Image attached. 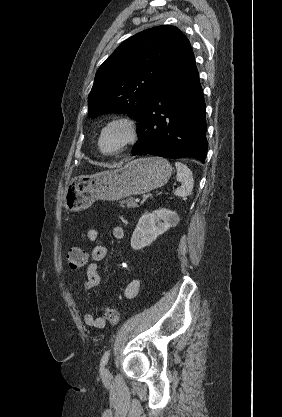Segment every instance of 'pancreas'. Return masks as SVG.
<instances>
[{"label": "pancreas", "instance_id": "obj_1", "mask_svg": "<svg viewBox=\"0 0 282 417\" xmlns=\"http://www.w3.org/2000/svg\"><path fill=\"white\" fill-rule=\"evenodd\" d=\"M120 206H124L127 204L128 209H134V206H137L133 196H128L127 200H119Z\"/></svg>", "mask_w": 282, "mask_h": 417}]
</instances>
